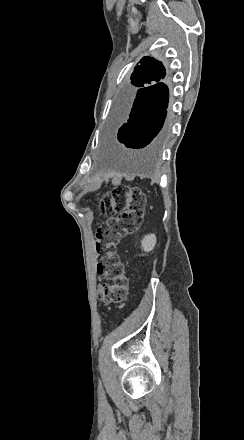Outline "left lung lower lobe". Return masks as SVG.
Returning a JSON list of instances; mask_svg holds the SVG:
<instances>
[{
	"label": "left lung lower lobe",
	"mask_w": 244,
	"mask_h": 440,
	"mask_svg": "<svg viewBox=\"0 0 244 440\" xmlns=\"http://www.w3.org/2000/svg\"><path fill=\"white\" fill-rule=\"evenodd\" d=\"M164 79V78H163ZM163 79L140 87L126 95L120 104L118 140L128 148L155 145L159 137L168 106V87Z\"/></svg>",
	"instance_id": "obj_1"
}]
</instances>
